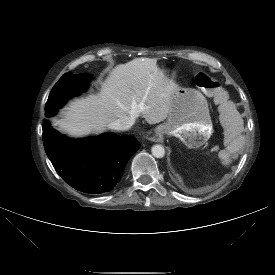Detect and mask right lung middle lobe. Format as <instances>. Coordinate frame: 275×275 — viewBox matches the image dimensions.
Here are the masks:
<instances>
[{"label": "right lung middle lobe", "mask_w": 275, "mask_h": 275, "mask_svg": "<svg viewBox=\"0 0 275 275\" xmlns=\"http://www.w3.org/2000/svg\"><path fill=\"white\" fill-rule=\"evenodd\" d=\"M90 80L91 76L88 74L75 75L71 72L64 74L49 95L45 105L46 117L55 115L67 100L86 90Z\"/></svg>", "instance_id": "dd1d6c3e"}]
</instances>
